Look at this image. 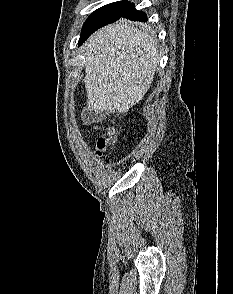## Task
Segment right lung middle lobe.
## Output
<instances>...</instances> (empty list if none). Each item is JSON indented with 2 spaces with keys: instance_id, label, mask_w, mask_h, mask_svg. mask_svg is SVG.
I'll return each mask as SVG.
<instances>
[{
  "instance_id": "dd1d6c3e",
  "label": "right lung middle lobe",
  "mask_w": 233,
  "mask_h": 294,
  "mask_svg": "<svg viewBox=\"0 0 233 294\" xmlns=\"http://www.w3.org/2000/svg\"><path fill=\"white\" fill-rule=\"evenodd\" d=\"M129 4V1H119L97 9L85 21L81 34L101 24L115 22L122 16Z\"/></svg>"
}]
</instances>
